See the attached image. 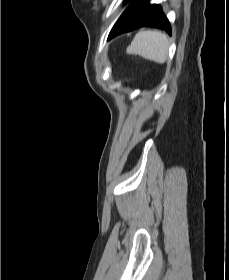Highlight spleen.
<instances>
[{"label":"spleen","instance_id":"1","mask_svg":"<svg viewBox=\"0 0 229 280\" xmlns=\"http://www.w3.org/2000/svg\"><path fill=\"white\" fill-rule=\"evenodd\" d=\"M168 48L167 35L159 31H140L127 48V52L164 63L167 59Z\"/></svg>","mask_w":229,"mask_h":280}]
</instances>
